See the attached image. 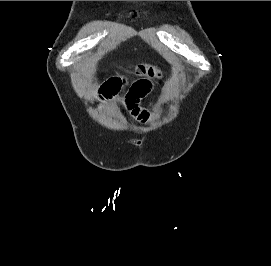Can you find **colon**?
<instances>
[{"label":"colon","mask_w":271,"mask_h":266,"mask_svg":"<svg viewBox=\"0 0 271 266\" xmlns=\"http://www.w3.org/2000/svg\"><path fill=\"white\" fill-rule=\"evenodd\" d=\"M139 71L144 74H149V75H156V76L161 75L160 71H158L155 67L148 66V65H143L139 67Z\"/></svg>","instance_id":"obj_1"}]
</instances>
